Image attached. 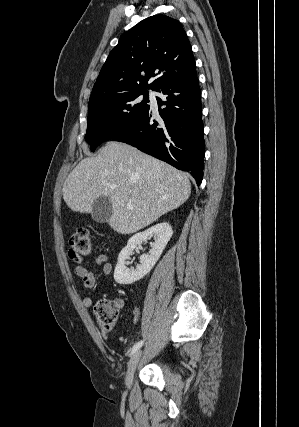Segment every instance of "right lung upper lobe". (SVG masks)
I'll return each instance as SVG.
<instances>
[{"label": "right lung upper lobe", "instance_id": "obj_1", "mask_svg": "<svg viewBox=\"0 0 299 427\" xmlns=\"http://www.w3.org/2000/svg\"><path fill=\"white\" fill-rule=\"evenodd\" d=\"M196 74L195 60L179 21L154 15L126 32L110 52L94 84L89 105L126 92L157 90ZM157 78L148 84L151 77Z\"/></svg>", "mask_w": 299, "mask_h": 427}]
</instances>
